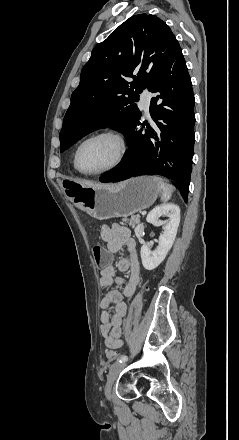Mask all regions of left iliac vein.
Here are the masks:
<instances>
[{"instance_id": "obj_1", "label": "left iliac vein", "mask_w": 239, "mask_h": 440, "mask_svg": "<svg viewBox=\"0 0 239 440\" xmlns=\"http://www.w3.org/2000/svg\"><path fill=\"white\" fill-rule=\"evenodd\" d=\"M126 363L125 362H115L112 364V366L109 369V373L107 376V383L105 387V394L108 399H111V390L112 386L117 379L119 373L125 368Z\"/></svg>"}]
</instances>
